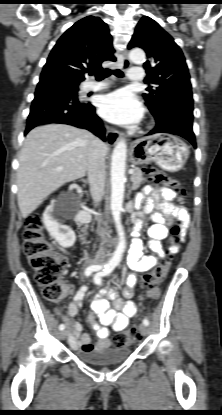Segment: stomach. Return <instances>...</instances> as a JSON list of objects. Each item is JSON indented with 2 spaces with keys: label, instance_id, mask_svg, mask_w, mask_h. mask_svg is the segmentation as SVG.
Listing matches in <instances>:
<instances>
[{
  "label": "stomach",
  "instance_id": "stomach-1",
  "mask_svg": "<svg viewBox=\"0 0 222 415\" xmlns=\"http://www.w3.org/2000/svg\"><path fill=\"white\" fill-rule=\"evenodd\" d=\"M131 161L135 165L155 162L167 171H178L189 157L188 146L178 137L155 134L137 140L131 148Z\"/></svg>",
  "mask_w": 222,
  "mask_h": 415
}]
</instances>
